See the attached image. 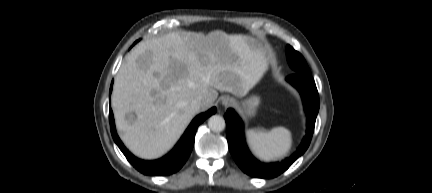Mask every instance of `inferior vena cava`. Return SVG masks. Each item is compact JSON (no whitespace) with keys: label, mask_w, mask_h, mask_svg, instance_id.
Listing matches in <instances>:
<instances>
[{"label":"inferior vena cava","mask_w":432,"mask_h":193,"mask_svg":"<svg viewBox=\"0 0 432 193\" xmlns=\"http://www.w3.org/2000/svg\"><path fill=\"white\" fill-rule=\"evenodd\" d=\"M190 105H191L192 109H194L195 111H198L202 105V99L197 98V99L193 100Z\"/></svg>","instance_id":"obj_1"}]
</instances>
